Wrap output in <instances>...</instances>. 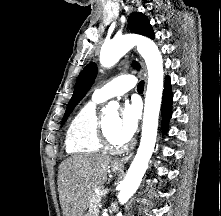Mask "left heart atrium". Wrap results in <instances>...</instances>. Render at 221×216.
I'll use <instances>...</instances> for the list:
<instances>
[{"label": "left heart atrium", "mask_w": 221, "mask_h": 216, "mask_svg": "<svg viewBox=\"0 0 221 216\" xmlns=\"http://www.w3.org/2000/svg\"><path fill=\"white\" fill-rule=\"evenodd\" d=\"M140 119V108L136 103L124 105L118 120V130L125 140L130 139L137 131Z\"/></svg>", "instance_id": "left-heart-atrium-1"}]
</instances>
